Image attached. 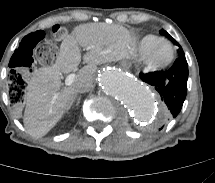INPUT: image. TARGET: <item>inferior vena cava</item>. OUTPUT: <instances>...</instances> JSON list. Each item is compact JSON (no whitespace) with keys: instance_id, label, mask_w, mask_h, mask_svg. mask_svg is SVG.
<instances>
[{"instance_id":"obj_1","label":"inferior vena cava","mask_w":215,"mask_h":183,"mask_svg":"<svg viewBox=\"0 0 215 183\" xmlns=\"http://www.w3.org/2000/svg\"><path fill=\"white\" fill-rule=\"evenodd\" d=\"M94 87V84L90 80H83L79 82L76 86L77 93H85L90 91Z\"/></svg>"}]
</instances>
